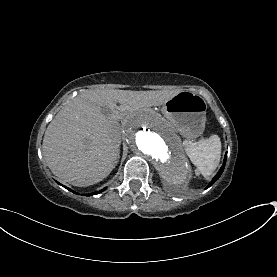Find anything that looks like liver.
Segmentation results:
<instances>
[{"mask_svg": "<svg viewBox=\"0 0 277 277\" xmlns=\"http://www.w3.org/2000/svg\"><path fill=\"white\" fill-rule=\"evenodd\" d=\"M172 96L171 92L113 89L85 91L76 96L45 131L43 155L48 167L73 186L102 181L116 166L128 124L140 115L136 112L162 105Z\"/></svg>", "mask_w": 277, "mask_h": 277, "instance_id": "obj_1", "label": "liver"}]
</instances>
